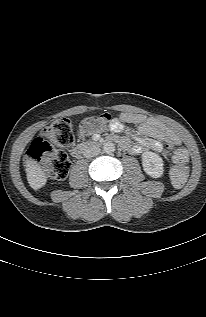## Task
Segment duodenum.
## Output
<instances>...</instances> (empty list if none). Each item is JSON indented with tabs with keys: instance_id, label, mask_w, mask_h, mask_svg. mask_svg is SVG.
I'll use <instances>...</instances> for the list:
<instances>
[{
	"instance_id": "1",
	"label": "duodenum",
	"mask_w": 206,
	"mask_h": 317,
	"mask_svg": "<svg viewBox=\"0 0 206 317\" xmlns=\"http://www.w3.org/2000/svg\"><path fill=\"white\" fill-rule=\"evenodd\" d=\"M107 142H118V143H123V140L121 138L115 137V136H110L108 138H101L99 139H94L91 140L89 142H84L81 144H78L77 146L73 147L71 150V154L73 157L78 158L80 156H82L85 152H87L88 150L96 147L99 143L101 145H106Z\"/></svg>"
}]
</instances>
